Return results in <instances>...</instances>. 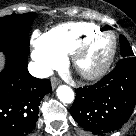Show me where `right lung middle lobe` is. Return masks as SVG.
I'll list each match as a JSON object with an SVG mask.
<instances>
[{"label": "right lung middle lobe", "instance_id": "1", "mask_svg": "<svg viewBox=\"0 0 136 136\" xmlns=\"http://www.w3.org/2000/svg\"><path fill=\"white\" fill-rule=\"evenodd\" d=\"M36 13L12 14L0 18V51L29 54L28 34Z\"/></svg>", "mask_w": 136, "mask_h": 136}]
</instances>
